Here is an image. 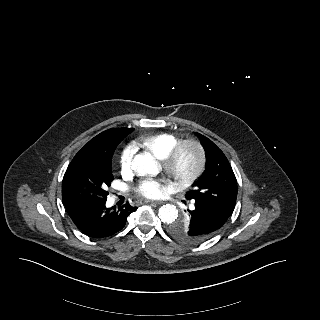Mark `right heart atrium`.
I'll use <instances>...</instances> for the list:
<instances>
[{"label": "right heart atrium", "instance_id": "obj_1", "mask_svg": "<svg viewBox=\"0 0 320 320\" xmlns=\"http://www.w3.org/2000/svg\"><path fill=\"white\" fill-rule=\"evenodd\" d=\"M133 156H134L133 146L132 145L125 146L120 155V168L123 172L130 171Z\"/></svg>", "mask_w": 320, "mask_h": 320}]
</instances>
